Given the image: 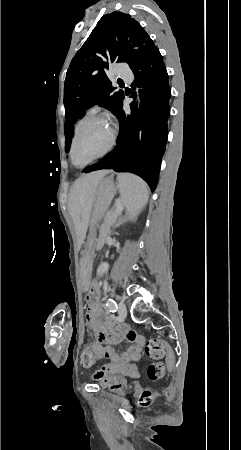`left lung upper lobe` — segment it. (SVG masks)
Masks as SVG:
<instances>
[{
	"mask_svg": "<svg viewBox=\"0 0 241 450\" xmlns=\"http://www.w3.org/2000/svg\"><path fill=\"white\" fill-rule=\"evenodd\" d=\"M154 46L144 28L129 14L104 15L73 57L66 73L64 106L66 109V151H69L74 124L83 111L100 104L116 115L124 99L108 78L109 64L130 65Z\"/></svg>",
	"mask_w": 241,
	"mask_h": 450,
	"instance_id": "left-lung-upper-lobe-1",
	"label": "left lung upper lobe"
}]
</instances>
